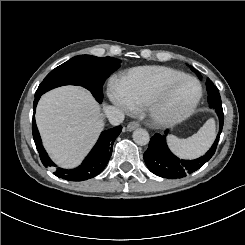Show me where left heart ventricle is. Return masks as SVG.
Segmentation results:
<instances>
[{
    "label": "left heart ventricle",
    "mask_w": 245,
    "mask_h": 245,
    "mask_svg": "<svg viewBox=\"0 0 245 245\" xmlns=\"http://www.w3.org/2000/svg\"><path fill=\"white\" fill-rule=\"evenodd\" d=\"M197 95V87L192 81H183L164 90L161 101L165 108L178 112L188 107Z\"/></svg>",
    "instance_id": "b2bd125f"
}]
</instances>
